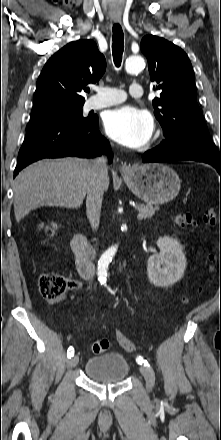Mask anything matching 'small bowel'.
Returning a JSON list of instances; mask_svg holds the SVG:
<instances>
[{
  "label": "small bowel",
  "instance_id": "1",
  "mask_svg": "<svg viewBox=\"0 0 221 440\" xmlns=\"http://www.w3.org/2000/svg\"><path fill=\"white\" fill-rule=\"evenodd\" d=\"M80 286H81L80 282L75 281V280H69L68 281V290H67V292L63 296H61V297H59L57 299L50 300V302L52 304H57L59 302H62L63 300H65L68 297V294H69L70 291H72L74 289H77Z\"/></svg>",
  "mask_w": 221,
  "mask_h": 440
}]
</instances>
